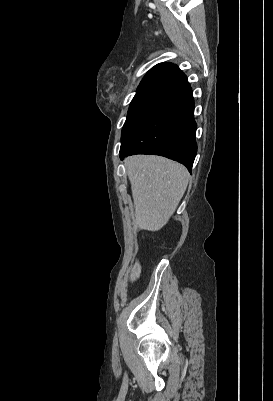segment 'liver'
Listing matches in <instances>:
<instances>
[{"label": "liver", "mask_w": 273, "mask_h": 401, "mask_svg": "<svg viewBox=\"0 0 273 401\" xmlns=\"http://www.w3.org/2000/svg\"><path fill=\"white\" fill-rule=\"evenodd\" d=\"M125 162L135 225L145 231H159L175 213L187 188L189 172L183 164L153 154H136Z\"/></svg>", "instance_id": "1"}]
</instances>
